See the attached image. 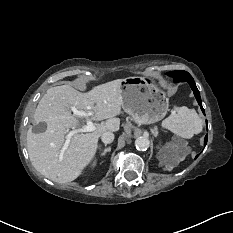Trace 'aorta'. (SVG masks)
<instances>
[{
	"label": "aorta",
	"mask_w": 233,
	"mask_h": 233,
	"mask_svg": "<svg viewBox=\"0 0 233 233\" xmlns=\"http://www.w3.org/2000/svg\"><path fill=\"white\" fill-rule=\"evenodd\" d=\"M150 146V140L145 136H140L135 140V147L138 150L145 151Z\"/></svg>",
	"instance_id": "1"
}]
</instances>
